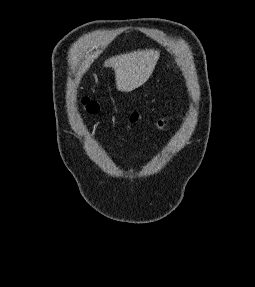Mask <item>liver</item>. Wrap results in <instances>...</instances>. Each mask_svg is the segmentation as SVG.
Here are the masks:
<instances>
[{
  "instance_id": "liver-1",
  "label": "liver",
  "mask_w": 255,
  "mask_h": 287,
  "mask_svg": "<svg viewBox=\"0 0 255 287\" xmlns=\"http://www.w3.org/2000/svg\"><path fill=\"white\" fill-rule=\"evenodd\" d=\"M158 58V50H138V52H130V54L113 56L106 60L104 66L105 68L112 66L117 90L131 92L149 80L155 70Z\"/></svg>"
}]
</instances>
